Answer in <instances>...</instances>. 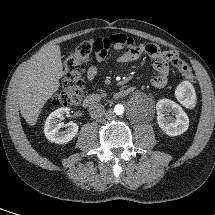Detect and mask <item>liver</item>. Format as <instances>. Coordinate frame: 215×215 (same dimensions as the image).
Wrapping results in <instances>:
<instances>
[{
    "instance_id": "1",
    "label": "liver",
    "mask_w": 215,
    "mask_h": 215,
    "mask_svg": "<svg viewBox=\"0 0 215 215\" xmlns=\"http://www.w3.org/2000/svg\"><path fill=\"white\" fill-rule=\"evenodd\" d=\"M63 66L60 46L42 48L17 72L15 87L22 117L35 125L44 104L59 88Z\"/></svg>"
}]
</instances>
